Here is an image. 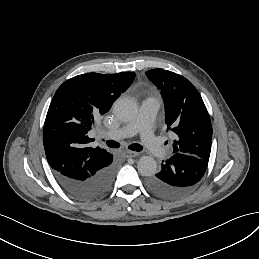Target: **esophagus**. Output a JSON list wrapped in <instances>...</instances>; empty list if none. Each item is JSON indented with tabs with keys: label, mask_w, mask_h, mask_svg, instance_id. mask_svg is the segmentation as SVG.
Listing matches in <instances>:
<instances>
[{
	"label": "esophagus",
	"mask_w": 259,
	"mask_h": 259,
	"mask_svg": "<svg viewBox=\"0 0 259 259\" xmlns=\"http://www.w3.org/2000/svg\"><path fill=\"white\" fill-rule=\"evenodd\" d=\"M138 155H139L138 152H133V151H124V152H123V156H124L125 158H133V157H136V156H138Z\"/></svg>",
	"instance_id": "obj_1"
}]
</instances>
